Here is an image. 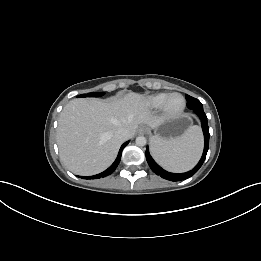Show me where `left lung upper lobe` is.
Listing matches in <instances>:
<instances>
[{"label":"left lung upper lobe","mask_w":261,"mask_h":261,"mask_svg":"<svg viewBox=\"0 0 261 261\" xmlns=\"http://www.w3.org/2000/svg\"><path fill=\"white\" fill-rule=\"evenodd\" d=\"M187 107L189 109H203L202 103L189 95H186Z\"/></svg>","instance_id":"left-lung-upper-lobe-1"}]
</instances>
